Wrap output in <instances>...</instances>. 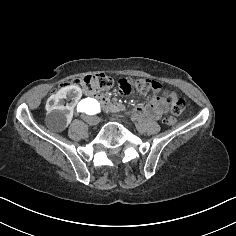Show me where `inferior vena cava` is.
<instances>
[{"label":"inferior vena cava","mask_w":236,"mask_h":236,"mask_svg":"<svg viewBox=\"0 0 236 236\" xmlns=\"http://www.w3.org/2000/svg\"><path fill=\"white\" fill-rule=\"evenodd\" d=\"M82 119L86 121V123L90 124V125H94V124H97V123H100L101 122V119L100 118H97V117H93V116H86V115H83L82 116Z\"/></svg>","instance_id":"602c4592"}]
</instances>
